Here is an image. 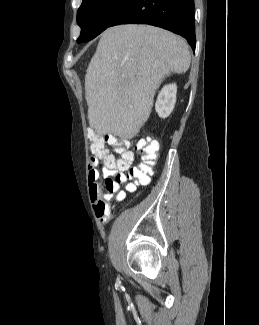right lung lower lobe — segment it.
<instances>
[{"label": "right lung lower lobe", "mask_w": 259, "mask_h": 325, "mask_svg": "<svg viewBox=\"0 0 259 325\" xmlns=\"http://www.w3.org/2000/svg\"><path fill=\"white\" fill-rule=\"evenodd\" d=\"M119 24H149L184 37L195 49L193 0H127L109 27Z\"/></svg>", "instance_id": "98d812e1"}]
</instances>
